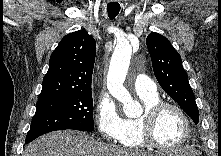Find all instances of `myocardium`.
<instances>
[{
	"instance_id": "obj_1",
	"label": "myocardium",
	"mask_w": 221,
	"mask_h": 156,
	"mask_svg": "<svg viewBox=\"0 0 221 156\" xmlns=\"http://www.w3.org/2000/svg\"><path fill=\"white\" fill-rule=\"evenodd\" d=\"M167 109L175 110L183 119L185 124V134L182 140L175 146H165L159 143L155 138V126L160 115ZM192 134V125L189 116L185 110L178 104L159 101L149 107H147L144 113L139 117V135L142 142L150 147L163 150V151H174L183 147Z\"/></svg>"
}]
</instances>
